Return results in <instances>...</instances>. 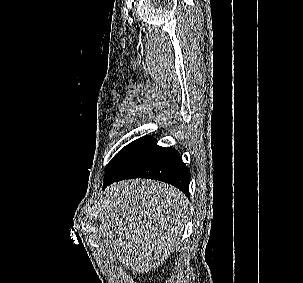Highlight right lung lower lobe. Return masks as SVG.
Wrapping results in <instances>:
<instances>
[{"mask_svg":"<svg viewBox=\"0 0 303 283\" xmlns=\"http://www.w3.org/2000/svg\"><path fill=\"white\" fill-rule=\"evenodd\" d=\"M131 178L160 180L189 196L190 170L173 148L158 146L152 136L138 139L105 174L103 187Z\"/></svg>","mask_w":303,"mask_h":283,"instance_id":"obj_1","label":"right lung lower lobe"}]
</instances>
